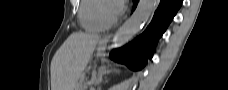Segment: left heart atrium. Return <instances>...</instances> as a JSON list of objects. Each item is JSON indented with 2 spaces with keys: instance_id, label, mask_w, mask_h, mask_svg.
Masks as SVG:
<instances>
[{
  "instance_id": "left-heart-atrium-1",
  "label": "left heart atrium",
  "mask_w": 228,
  "mask_h": 90,
  "mask_svg": "<svg viewBox=\"0 0 228 90\" xmlns=\"http://www.w3.org/2000/svg\"><path fill=\"white\" fill-rule=\"evenodd\" d=\"M123 7H124V5L122 3H118L116 5L113 4L112 5V10L114 12V15L116 16V15L121 14L122 10H123Z\"/></svg>"
}]
</instances>
